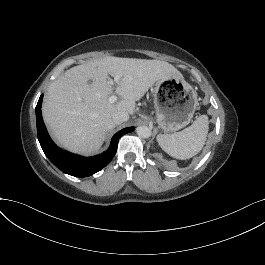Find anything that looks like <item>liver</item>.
<instances>
[{"label":"liver","mask_w":265,"mask_h":265,"mask_svg":"<svg viewBox=\"0 0 265 265\" xmlns=\"http://www.w3.org/2000/svg\"><path fill=\"white\" fill-rule=\"evenodd\" d=\"M108 74L120 76L116 103ZM182 78L171 64L161 60L106 56L67 70L53 81L44 96L43 119L54 140L75 153L90 155L102 146L106 134L115 128L112 114H133L135 102L159 80Z\"/></svg>","instance_id":"obj_1"}]
</instances>
